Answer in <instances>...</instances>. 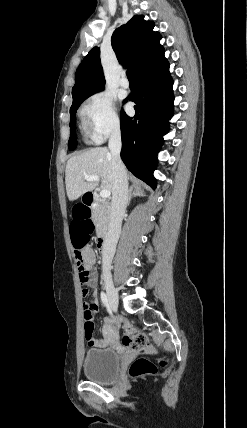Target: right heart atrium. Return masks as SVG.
<instances>
[{
	"mask_svg": "<svg viewBox=\"0 0 247 428\" xmlns=\"http://www.w3.org/2000/svg\"><path fill=\"white\" fill-rule=\"evenodd\" d=\"M89 133L96 142L105 140L120 129L114 98L107 92L92 95L84 107Z\"/></svg>",
	"mask_w": 247,
	"mask_h": 428,
	"instance_id": "d8ad5b80",
	"label": "right heart atrium"
}]
</instances>
